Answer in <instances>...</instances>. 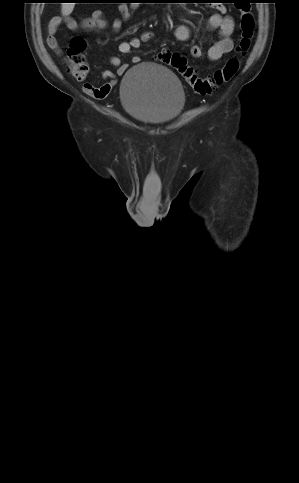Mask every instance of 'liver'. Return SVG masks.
I'll return each mask as SVG.
<instances>
[{"label":"liver","instance_id":"6515ba94","mask_svg":"<svg viewBox=\"0 0 299 483\" xmlns=\"http://www.w3.org/2000/svg\"><path fill=\"white\" fill-rule=\"evenodd\" d=\"M73 8H74V3H62V9H61L62 15L68 16L73 11Z\"/></svg>","mask_w":299,"mask_h":483}]
</instances>
